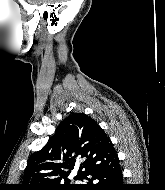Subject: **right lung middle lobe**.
Instances as JSON below:
<instances>
[{"label": "right lung middle lobe", "instance_id": "right-lung-middle-lobe-1", "mask_svg": "<svg viewBox=\"0 0 165 190\" xmlns=\"http://www.w3.org/2000/svg\"><path fill=\"white\" fill-rule=\"evenodd\" d=\"M53 190H77V187L75 185H69L65 187L55 188Z\"/></svg>", "mask_w": 165, "mask_h": 190}]
</instances>
